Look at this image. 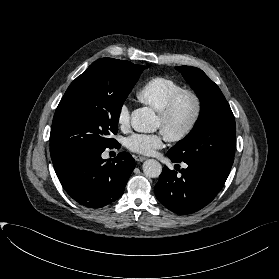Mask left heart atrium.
Wrapping results in <instances>:
<instances>
[{
  "label": "left heart atrium",
  "mask_w": 279,
  "mask_h": 279,
  "mask_svg": "<svg viewBox=\"0 0 279 279\" xmlns=\"http://www.w3.org/2000/svg\"><path fill=\"white\" fill-rule=\"evenodd\" d=\"M166 138L164 132L134 133L126 139V147L137 154L152 155L164 146Z\"/></svg>",
  "instance_id": "39dd6f15"
}]
</instances>
